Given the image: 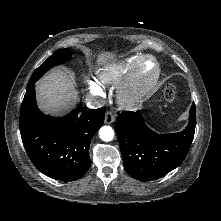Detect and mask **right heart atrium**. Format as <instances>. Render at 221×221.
Listing matches in <instances>:
<instances>
[{
  "instance_id": "obj_1",
  "label": "right heart atrium",
  "mask_w": 221,
  "mask_h": 221,
  "mask_svg": "<svg viewBox=\"0 0 221 221\" xmlns=\"http://www.w3.org/2000/svg\"><path fill=\"white\" fill-rule=\"evenodd\" d=\"M89 87L92 93L96 94V95H100L101 91L100 89L92 82H89Z\"/></svg>"
}]
</instances>
